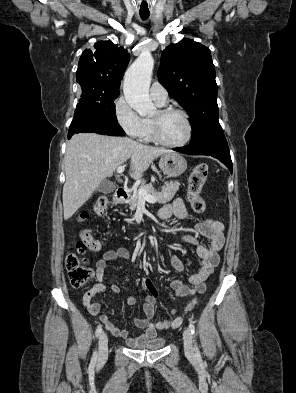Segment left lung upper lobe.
I'll use <instances>...</instances> for the list:
<instances>
[{
  "instance_id": "1",
  "label": "left lung upper lobe",
  "mask_w": 296,
  "mask_h": 393,
  "mask_svg": "<svg viewBox=\"0 0 296 393\" xmlns=\"http://www.w3.org/2000/svg\"><path fill=\"white\" fill-rule=\"evenodd\" d=\"M159 82L190 116V145L224 135L218 121L215 67L209 48L190 39L162 52Z\"/></svg>"
}]
</instances>
